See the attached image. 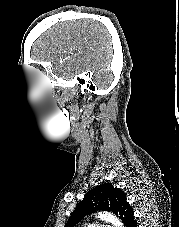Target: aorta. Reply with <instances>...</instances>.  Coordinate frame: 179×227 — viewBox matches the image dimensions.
<instances>
[{"instance_id":"1","label":"aorta","mask_w":179,"mask_h":227,"mask_svg":"<svg viewBox=\"0 0 179 227\" xmlns=\"http://www.w3.org/2000/svg\"><path fill=\"white\" fill-rule=\"evenodd\" d=\"M99 219L112 223L115 227H123L121 221L113 214L108 212L99 213L97 216Z\"/></svg>"}]
</instances>
